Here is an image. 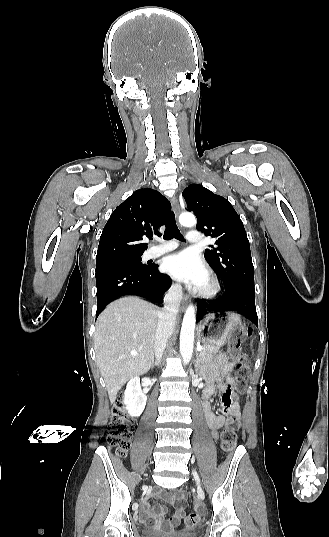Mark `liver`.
<instances>
[{
    "label": "liver",
    "mask_w": 329,
    "mask_h": 537,
    "mask_svg": "<svg viewBox=\"0 0 329 537\" xmlns=\"http://www.w3.org/2000/svg\"><path fill=\"white\" fill-rule=\"evenodd\" d=\"M159 314L154 305L129 296L114 301L99 315L94 348L112 403L126 381L150 369Z\"/></svg>",
    "instance_id": "liver-1"
}]
</instances>
